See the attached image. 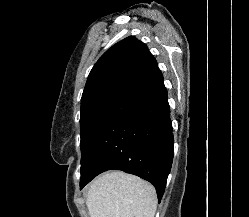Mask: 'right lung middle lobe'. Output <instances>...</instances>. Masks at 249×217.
<instances>
[{
	"instance_id": "obj_1",
	"label": "right lung middle lobe",
	"mask_w": 249,
	"mask_h": 217,
	"mask_svg": "<svg viewBox=\"0 0 249 217\" xmlns=\"http://www.w3.org/2000/svg\"><path fill=\"white\" fill-rule=\"evenodd\" d=\"M124 94L120 91H110L95 96L81 103L80 115V147L81 159L86 152L90 139L96 127L111 108V106Z\"/></svg>"
}]
</instances>
